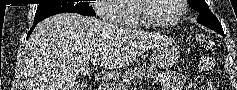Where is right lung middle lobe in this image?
<instances>
[{
    "label": "right lung middle lobe",
    "instance_id": "obj_1",
    "mask_svg": "<svg viewBox=\"0 0 237 90\" xmlns=\"http://www.w3.org/2000/svg\"><path fill=\"white\" fill-rule=\"evenodd\" d=\"M74 12L81 15L95 16V11L88 2L77 3H59V4H39L35 13L34 22L41 21L49 16L64 13Z\"/></svg>",
    "mask_w": 237,
    "mask_h": 90
}]
</instances>
